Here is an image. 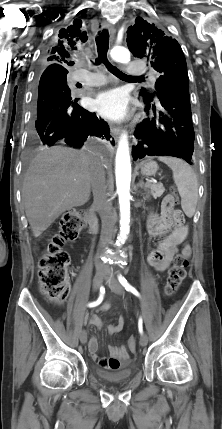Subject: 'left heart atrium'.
Listing matches in <instances>:
<instances>
[{"mask_svg":"<svg viewBox=\"0 0 222 429\" xmlns=\"http://www.w3.org/2000/svg\"><path fill=\"white\" fill-rule=\"evenodd\" d=\"M95 110L109 120H120L127 112V96L120 89L99 94L94 101Z\"/></svg>","mask_w":222,"mask_h":429,"instance_id":"left-heart-atrium-1","label":"left heart atrium"}]
</instances>
